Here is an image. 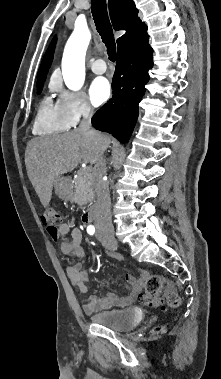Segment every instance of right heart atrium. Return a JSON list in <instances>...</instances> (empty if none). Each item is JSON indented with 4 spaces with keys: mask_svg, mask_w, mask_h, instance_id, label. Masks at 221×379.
<instances>
[{
    "mask_svg": "<svg viewBox=\"0 0 221 379\" xmlns=\"http://www.w3.org/2000/svg\"><path fill=\"white\" fill-rule=\"evenodd\" d=\"M55 89L57 103L72 126L94 114L95 109L83 91H70L60 86Z\"/></svg>",
    "mask_w": 221,
    "mask_h": 379,
    "instance_id": "d8ad5b80",
    "label": "right heart atrium"
}]
</instances>
